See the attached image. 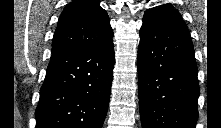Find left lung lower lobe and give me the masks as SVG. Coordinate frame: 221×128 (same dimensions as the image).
Wrapping results in <instances>:
<instances>
[{"instance_id":"0a47b994","label":"left lung lower lobe","mask_w":221,"mask_h":128,"mask_svg":"<svg viewBox=\"0 0 221 128\" xmlns=\"http://www.w3.org/2000/svg\"><path fill=\"white\" fill-rule=\"evenodd\" d=\"M197 74L190 33L144 17L138 47L142 128H195Z\"/></svg>"}]
</instances>
